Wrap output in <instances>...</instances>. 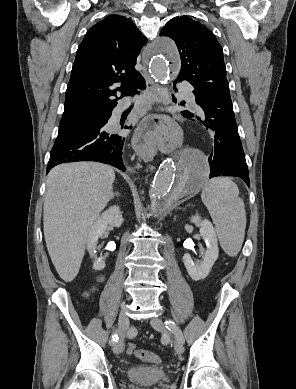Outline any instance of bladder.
I'll list each match as a JSON object with an SVG mask.
<instances>
[{"instance_id":"1","label":"bladder","mask_w":296,"mask_h":389,"mask_svg":"<svg viewBox=\"0 0 296 389\" xmlns=\"http://www.w3.org/2000/svg\"><path fill=\"white\" fill-rule=\"evenodd\" d=\"M126 377L141 385H153L166 380L167 373L159 367L132 366L126 370Z\"/></svg>"}]
</instances>
